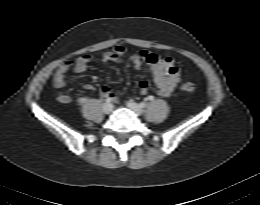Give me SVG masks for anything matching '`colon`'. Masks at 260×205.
Returning <instances> with one entry per match:
<instances>
[{
    "instance_id": "1",
    "label": "colon",
    "mask_w": 260,
    "mask_h": 205,
    "mask_svg": "<svg viewBox=\"0 0 260 205\" xmlns=\"http://www.w3.org/2000/svg\"><path fill=\"white\" fill-rule=\"evenodd\" d=\"M180 89L183 92L191 93L195 90V85L191 82H183L180 85Z\"/></svg>"
}]
</instances>
